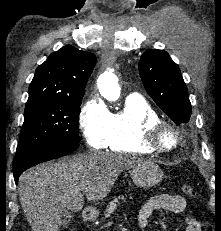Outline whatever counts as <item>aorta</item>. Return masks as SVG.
Returning <instances> with one entry per match:
<instances>
[{
    "mask_svg": "<svg viewBox=\"0 0 221 231\" xmlns=\"http://www.w3.org/2000/svg\"><path fill=\"white\" fill-rule=\"evenodd\" d=\"M97 86L100 94L109 101H115L120 97V86L115 74L106 72L102 74L98 81Z\"/></svg>",
    "mask_w": 221,
    "mask_h": 231,
    "instance_id": "aorta-1",
    "label": "aorta"
}]
</instances>
